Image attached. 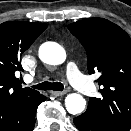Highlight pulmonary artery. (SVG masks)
I'll list each match as a JSON object with an SVG mask.
<instances>
[{"label": "pulmonary artery", "instance_id": "pulmonary-artery-1", "mask_svg": "<svg viewBox=\"0 0 131 131\" xmlns=\"http://www.w3.org/2000/svg\"><path fill=\"white\" fill-rule=\"evenodd\" d=\"M66 74L70 83L85 95H91L94 92V85L79 70L74 62H69L66 68Z\"/></svg>", "mask_w": 131, "mask_h": 131}]
</instances>
